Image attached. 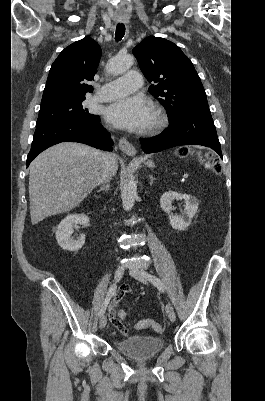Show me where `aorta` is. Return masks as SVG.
<instances>
[{"label":"aorta","instance_id":"obj_1","mask_svg":"<svg viewBox=\"0 0 265 401\" xmlns=\"http://www.w3.org/2000/svg\"><path fill=\"white\" fill-rule=\"evenodd\" d=\"M133 62V56H131V54H126L123 62H119L118 58H110V60H107L105 68L109 74H114V76H116V74H121V72H124V70H128V68L132 66ZM136 196V180H127L122 190V205L124 211H131L135 203Z\"/></svg>","mask_w":265,"mask_h":401}]
</instances>
